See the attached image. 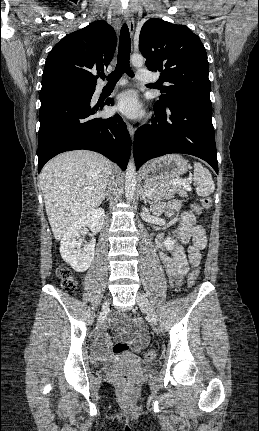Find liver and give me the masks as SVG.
<instances>
[{
    "instance_id": "6515ba94",
    "label": "liver",
    "mask_w": 259,
    "mask_h": 431,
    "mask_svg": "<svg viewBox=\"0 0 259 431\" xmlns=\"http://www.w3.org/2000/svg\"><path fill=\"white\" fill-rule=\"evenodd\" d=\"M112 170L104 156L87 150L62 153L44 166L40 185L56 240L102 203Z\"/></svg>"
}]
</instances>
